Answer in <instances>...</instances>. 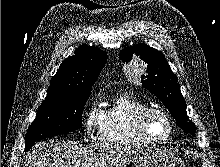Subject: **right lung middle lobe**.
I'll return each instance as SVG.
<instances>
[{
    "mask_svg": "<svg viewBox=\"0 0 220 167\" xmlns=\"http://www.w3.org/2000/svg\"><path fill=\"white\" fill-rule=\"evenodd\" d=\"M90 91L64 94L45 99L26 135L25 151L42 139L77 130L82 125V113Z\"/></svg>",
    "mask_w": 220,
    "mask_h": 167,
    "instance_id": "right-lung-middle-lobe-1",
    "label": "right lung middle lobe"
}]
</instances>
